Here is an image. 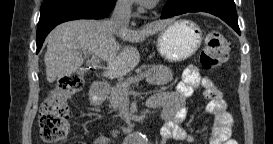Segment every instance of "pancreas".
Returning a JSON list of instances; mask_svg holds the SVG:
<instances>
[{
    "label": "pancreas",
    "instance_id": "pancreas-1",
    "mask_svg": "<svg viewBox=\"0 0 273 144\" xmlns=\"http://www.w3.org/2000/svg\"><path fill=\"white\" fill-rule=\"evenodd\" d=\"M151 75L147 78V82L152 85H166L173 80L172 71L164 65H154L149 68ZM138 76L129 77L124 82H119L112 87L109 102L110 106L117 109L120 103L128 96L130 86L137 81Z\"/></svg>",
    "mask_w": 273,
    "mask_h": 144
}]
</instances>
